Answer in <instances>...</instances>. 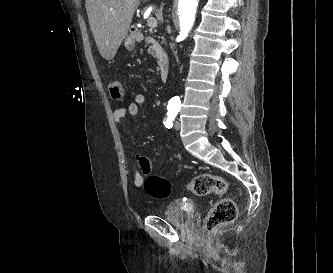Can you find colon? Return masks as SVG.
Returning a JSON list of instances; mask_svg holds the SVG:
<instances>
[{
	"label": "colon",
	"instance_id": "colon-1",
	"mask_svg": "<svg viewBox=\"0 0 333 273\" xmlns=\"http://www.w3.org/2000/svg\"><path fill=\"white\" fill-rule=\"evenodd\" d=\"M109 93L114 100H121L124 95L120 82L112 81L109 84ZM138 164L143 174H149L152 168L151 161L145 157H138ZM145 191L151 197L164 199L171 194V185L167 179L159 175H150L144 183ZM189 190L197 196L214 194L223 195L227 190L226 180L215 174L203 173L195 176L188 184ZM237 215L235 202L228 197H221L212 205L205 221L203 229L206 233H213L219 227L233 222Z\"/></svg>",
	"mask_w": 333,
	"mask_h": 273
}]
</instances>
